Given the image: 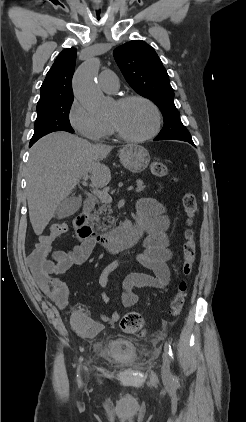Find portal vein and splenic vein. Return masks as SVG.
I'll use <instances>...</instances> for the list:
<instances>
[{
    "mask_svg": "<svg viewBox=\"0 0 246 422\" xmlns=\"http://www.w3.org/2000/svg\"><path fill=\"white\" fill-rule=\"evenodd\" d=\"M88 178H89V175L88 174H84L83 176H82V179H83V183L85 184L86 182H87V180H88ZM133 189V186H129L128 188H127V190L128 191H130V190H132ZM93 194L95 195V196H97L100 200H102V201H104V202H108V203H111L112 202V198H111V196L107 193V192H105V191H101V190H98V189H93Z\"/></svg>",
    "mask_w": 246,
    "mask_h": 422,
    "instance_id": "1",
    "label": "portal vein and splenic vein"
}]
</instances>
